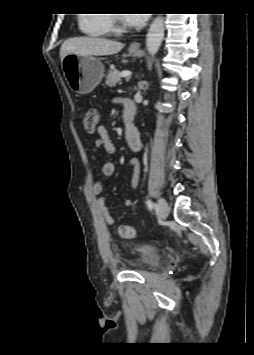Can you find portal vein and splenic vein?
Instances as JSON below:
<instances>
[{
	"instance_id": "portal-vein-and-splenic-vein-1",
	"label": "portal vein and splenic vein",
	"mask_w": 254,
	"mask_h": 355,
	"mask_svg": "<svg viewBox=\"0 0 254 355\" xmlns=\"http://www.w3.org/2000/svg\"><path fill=\"white\" fill-rule=\"evenodd\" d=\"M130 76H131V72L129 71H123L120 73V77L122 78H130Z\"/></svg>"
}]
</instances>
